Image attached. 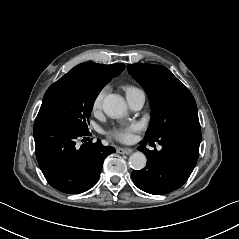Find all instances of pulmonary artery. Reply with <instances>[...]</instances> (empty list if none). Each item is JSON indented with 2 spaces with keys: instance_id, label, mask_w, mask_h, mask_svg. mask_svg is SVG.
I'll use <instances>...</instances> for the list:
<instances>
[{
  "instance_id": "e3ab8cb5",
  "label": "pulmonary artery",
  "mask_w": 239,
  "mask_h": 239,
  "mask_svg": "<svg viewBox=\"0 0 239 239\" xmlns=\"http://www.w3.org/2000/svg\"><path fill=\"white\" fill-rule=\"evenodd\" d=\"M126 98L132 109L139 110L145 103L146 95L143 90L134 87L127 89Z\"/></svg>"
}]
</instances>
